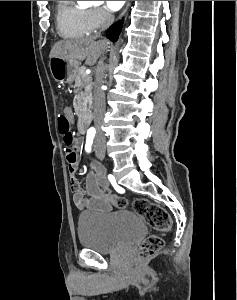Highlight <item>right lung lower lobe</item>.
<instances>
[{"label":"right lung lower lobe","mask_w":237,"mask_h":300,"mask_svg":"<svg viewBox=\"0 0 237 300\" xmlns=\"http://www.w3.org/2000/svg\"><path fill=\"white\" fill-rule=\"evenodd\" d=\"M122 23V21H118L114 26H112L106 34L107 38L113 42H116L121 32Z\"/></svg>","instance_id":"1"}]
</instances>
